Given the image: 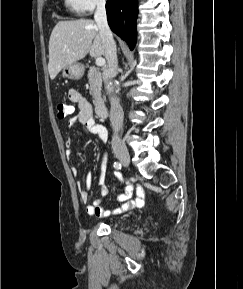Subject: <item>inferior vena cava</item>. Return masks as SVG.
Listing matches in <instances>:
<instances>
[{"label":"inferior vena cava","mask_w":243,"mask_h":289,"mask_svg":"<svg viewBox=\"0 0 243 289\" xmlns=\"http://www.w3.org/2000/svg\"><path fill=\"white\" fill-rule=\"evenodd\" d=\"M106 0H97V7L94 14L96 25L99 28L100 36L105 45V58L107 60V68L104 72L105 80H111L117 74L118 60H117V49L113 39L112 32L107 22ZM111 102V114L110 121L113 129L112 136V149L113 152L126 151L125 143L119 137V131L123 124V110L119 104V100L116 97L110 98Z\"/></svg>","instance_id":"obj_1"}]
</instances>
